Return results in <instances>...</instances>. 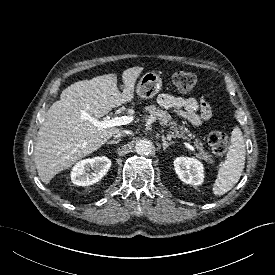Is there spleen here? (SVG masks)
Here are the masks:
<instances>
[{"label":"spleen","instance_id":"3e777b00","mask_svg":"<svg viewBox=\"0 0 275 275\" xmlns=\"http://www.w3.org/2000/svg\"><path fill=\"white\" fill-rule=\"evenodd\" d=\"M245 155L246 150L242 131L239 127H234L226 160L219 168L213 185L212 191L214 195H224L239 181L245 165Z\"/></svg>","mask_w":275,"mask_h":275}]
</instances>
